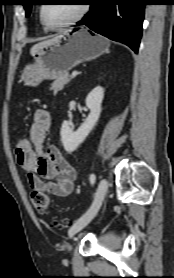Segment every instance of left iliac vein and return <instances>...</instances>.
<instances>
[{
	"instance_id": "4c4485c4",
	"label": "left iliac vein",
	"mask_w": 174,
	"mask_h": 278,
	"mask_svg": "<svg viewBox=\"0 0 174 278\" xmlns=\"http://www.w3.org/2000/svg\"><path fill=\"white\" fill-rule=\"evenodd\" d=\"M107 189L108 181L106 179H102L98 185L90 208L69 229L68 233L70 237H73L76 233L81 231L97 215L106 196Z\"/></svg>"
}]
</instances>
